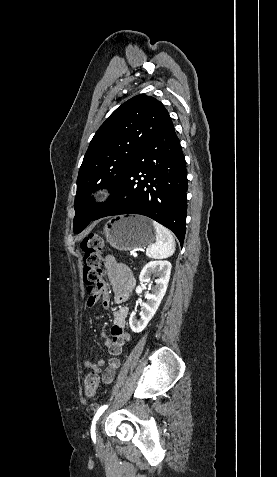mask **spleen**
<instances>
[{
    "label": "spleen",
    "mask_w": 277,
    "mask_h": 477,
    "mask_svg": "<svg viewBox=\"0 0 277 477\" xmlns=\"http://www.w3.org/2000/svg\"><path fill=\"white\" fill-rule=\"evenodd\" d=\"M153 226L156 230V242L147 248L146 255L154 259L172 256L175 252V241L171 232L155 221H153Z\"/></svg>",
    "instance_id": "3e777b00"
}]
</instances>
